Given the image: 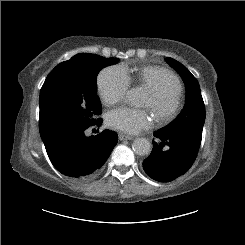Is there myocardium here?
<instances>
[{
  "instance_id": "1",
  "label": "myocardium",
  "mask_w": 245,
  "mask_h": 245,
  "mask_svg": "<svg viewBox=\"0 0 245 245\" xmlns=\"http://www.w3.org/2000/svg\"><path fill=\"white\" fill-rule=\"evenodd\" d=\"M166 76L167 80L156 87L148 89L152 99L150 109L159 122L171 120L178 113L181 105V96L174 84L175 75L167 71ZM166 98L169 99L167 105L164 104Z\"/></svg>"
}]
</instances>
